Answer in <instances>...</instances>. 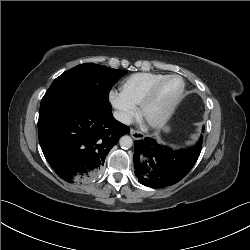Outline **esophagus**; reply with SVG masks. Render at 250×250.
I'll return each mask as SVG.
<instances>
[{
	"mask_svg": "<svg viewBox=\"0 0 250 250\" xmlns=\"http://www.w3.org/2000/svg\"><path fill=\"white\" fill-rule=\"evenodd\" d=\"M130 135H131L132 138L135 139V140H140V139H142V138L144 137V135H143L141 132L136 131V130H134V129H131V130H130Z\"/></svg>",
	"mask_w": 250,
	"mask_h": 250,
	"instance_id": "esophagus-1",
	"label": "esophagus"
}]
</instances>
